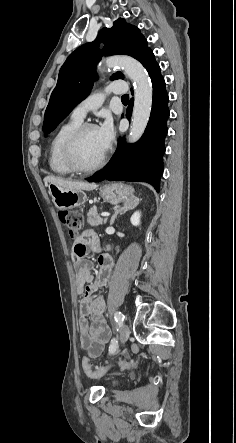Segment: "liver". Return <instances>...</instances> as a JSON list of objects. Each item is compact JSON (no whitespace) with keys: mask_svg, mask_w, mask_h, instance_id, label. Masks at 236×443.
I'll use <instances>...</instances> for the list:
<instances>
[{"mask_svg":"<svg viewBox=\"0 0 236 443\" xmlns=\"http://www.w3.org/2000/svg\"><path fill=\"white\" fill-rule=\"evenodd\" d=\"M45 183L54 184L56 186L67 188L71 190H93L97 187L94 183H87V182H74V181H68L63 178L55 177V176H47L44 178Z\"/></svg>","mask_w":236,"mask_h":443,"instance_id":"liver-1","label":"liver"}]
</instances>
